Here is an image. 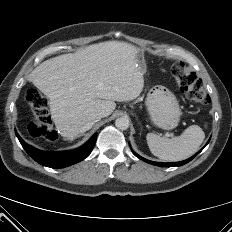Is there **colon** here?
<instances>
[{
  "mask_svg": "<svg viewBox=\"0 0 232 232\" xmlns=\"http://www.w3.org/2000/svg\"><path fill=\"white\" fill-rule=\"evenodd\" d=\"M171 74L178 89L196 103H207L209 97L204 90L202 80L184 63L178 62L171 67ZM30 105L33 118L28 126V133L33 138L54 141L58 138L48 115V100L36 88H30L25 95Z\"/></svg>",
  "mask_w": 232,
  "mask_h": 232,
  "instance_id": "colon-1",
  "label": "colon"
}]
</instances>
